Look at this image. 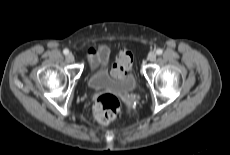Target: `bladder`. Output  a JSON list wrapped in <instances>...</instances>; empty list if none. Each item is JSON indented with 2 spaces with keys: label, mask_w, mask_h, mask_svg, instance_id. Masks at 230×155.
<instances>
[{
  "label": "bladder",
  "mask_w": 230,
  "mask_h": 155,
  "mask_svg": "<svg viewBox=\"0 0 230 155\" xmlns=\"http://www.w3.org/2000/svg\"><path fill=\"white\" fill-rule=\"evenodd\" d=\"M88 85L95 90L111 89L118 93H130L138 86L137 78L132 73H127L122 77H113L105 69L92 72L88 76Z\"/></svg>",
  "instance_id": "1"
}]
</instances>
